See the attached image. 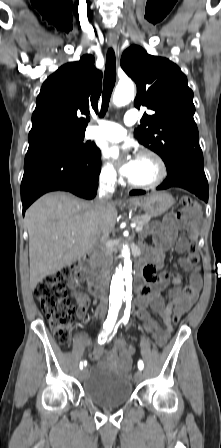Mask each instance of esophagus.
<instances>
[{"label":"esophagus","mask_w":221,"mask_h":448,"mask_svg":"<svg viewBox=\"0 0 221 448\" xmlns=\"http://www.w3.org/2000/svg\"><path fill=\"white\" fill-rule=\"evenodd\" d=\"M107 43L109 46L116 49L117 48V37L115 35H109L107 38Z\"/></svg>","instance_id":"34e87169"}]
</instances>
